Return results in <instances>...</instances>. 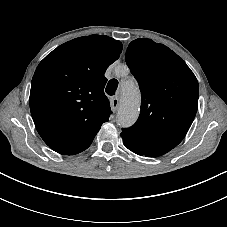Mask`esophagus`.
<instances>
[{"mask_svg": "<svg viewBox=\"0 0 227 227\" xmlns=\"http://www.w3.org/2000/svg\"><path fill=\"white\" fill-rule=\"evenodd\" d=\"M111 104V109L113 112L117 111L118 107H119V98L118 97H114L111 99L110 101Z\"/></svg>", "mask_w": 227, "mask_h": 227, "instance_id": "1", "label": "esophagus"}]
</instances>
